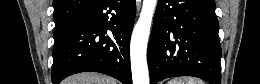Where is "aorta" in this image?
<instances>
[{
	"instance_id": "762f6f07",
	"label": "aorta",
	"mask_w": 260,
	"mask_h": 84,
	"mask_svg": "<svg viewBox=\"0 0 260 84\" xmlns=\"http://www.w3.org/2000/svg\"><path fill=\"white\" fill-rule=\"evenodd\" d=\"M156 5L157 0H143L140 17L132 33L130 58L133 84H149L146 53Z\"/></svg>"
}]
</instances>
